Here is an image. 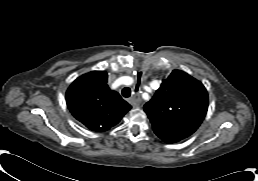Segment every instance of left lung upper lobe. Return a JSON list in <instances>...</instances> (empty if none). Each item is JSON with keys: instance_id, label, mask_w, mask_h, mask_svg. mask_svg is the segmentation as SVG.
<instances>
[{"instance_id": "left-lung-upper-lobe-1", "label": "left lung upper lobe", "mask_w": 258, "mask_h": 181, "mask_svg": "<svg viewBox=\"0 0 258 181\" xmlns=\"http://www.w3.org/2000/svg\"><path fill=\"white\" fill-rule=\"evenodd\" d=\"M207 108L208 95L203 84L180 70H174L163 80L153 98L144 105L156 134L180 140L195 132Z\"/></svg>"}]
</instances>
